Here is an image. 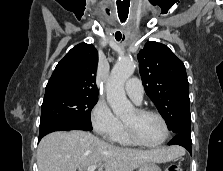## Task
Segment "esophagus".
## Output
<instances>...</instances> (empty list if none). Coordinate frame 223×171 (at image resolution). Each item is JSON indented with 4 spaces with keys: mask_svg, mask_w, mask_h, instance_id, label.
Instances as JSON below:
<instances>
[{
    "mask_svg": "<svg viewBox=\"0 0 223 171\" xmlns=\"http://www.w3.org/2000/svg\"><path fill=\"white\" fill-rule=\"evenodd\" d=\"M119 12L120 13L118 14V17L121 18V21L122 22H125L126 21V18H127V15H128L127 10H125L124 13L121 10Z\"/></svg>",
    "mask_w": 223,
    "mask_h": 171,
    "instance_id": "obj_1",
    "label": "esophagus"
}]
</instances>
